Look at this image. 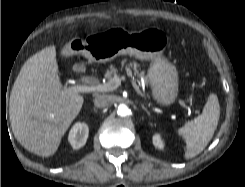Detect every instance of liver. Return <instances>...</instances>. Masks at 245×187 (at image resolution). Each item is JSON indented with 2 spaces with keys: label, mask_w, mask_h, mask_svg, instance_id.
Returning <instances> with one entry per match:
<instances>
[{
  "label": "liver",
  "mask_w": 245,
  "mask_h": 187,
  "mask_svg": "<svg viewBox=\"0 0 245 187\" xmlns=\"http://www.w3.org/2000/svg\"><path fill=\"white\" fill-rule=\"evenodd\" d=\"M58 72L56 47H46L24 63L10 94L9 116L16 140L42 157L55 154L84 102L81 94L63 87Z\"/></svg>",
  "instance_id": "obj_1"
}]
</instances>
